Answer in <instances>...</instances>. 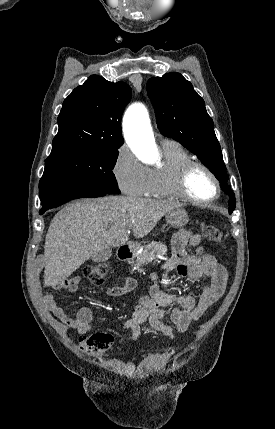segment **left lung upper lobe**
<instances>
[{"label": "left lung upper lobe", "mask_w": 275, "mask_h": 429, "mask_svg": "<svg viewBox=\"0 0 275 429\" xmlns=\"http://www.w3.org/2000/svg\"><path fill=\"white\" fill-rule=\"evenodd\" d=\"M147 91L161 134L181 143L210 169L220 181L222 190L231 196L229 213H232L236 202L233 191L227 185L229 176L204 100L189 81L175 72L149 79Z\"/></svg>", "instance_id": "obj_1"}]
</instances>
